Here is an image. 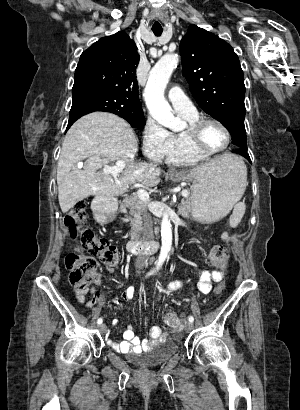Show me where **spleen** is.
<instances>
[{
  "instance_id": "spleen-1",
  "label": "spleen",
  "mask_w": 300,
  "mask_h": 410,
  "mask_svg": "<svg viewBox=\"0 0 300 410\" xmlns=\"http://www.w3.org/2000/svg\"><path fill=\"white\" fill-rule=\"evenodd\" d=\"M238 162V168L241 169L243 173V186L246 187L247 185V169L243 161L240 159H236ZM246 205L243 202H239L234 206L232 215L230 216V226L235 228L241 221L242 217L245 214Z\"/></svg>"
}]
</instances>
